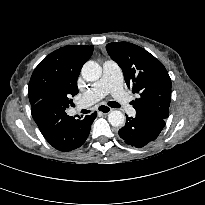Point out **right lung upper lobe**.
I'll use <instances>...</instances> for the list:
<instances>
[{
	"mask_svg": "<svg viewBox=\"0 0 205 205\" xmlns=\"http://www.w3.org/2000/svg\"><path fill=\"white\" fill-rule=\"evenodd\" d=\"M92 53L93 45H68L45 57L35 68L29 82L28 96L31 106L64 91L75 96L78 93V75Z\"/></svg>",
	"mask_w": 205,
	"mask_h": 205,
	"instance_id": "cb5924a9",
	"label": "right lung upper lobe"
}]
</instances>
